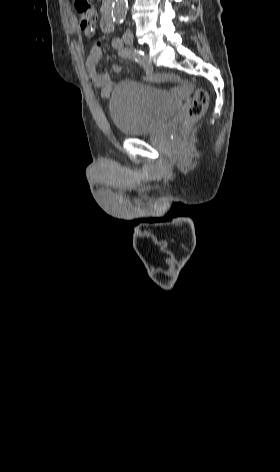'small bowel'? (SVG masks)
<instances>
[{"mask_svg":"<svg viewBox=\"0 0 280 472\" xmlns=\"http://www.w3.org/2000/svg\"><path fill=\"white\" fill-rule=\"evenodd\" d=\"M103 59V53L98 44H95L86 61L85 68L88 73L90 80L101 89L102 98H108L113 87V81L109 73H99L97 70L98 64ZM122 69L121 64H114L112 67L113 72H120ZM158 80L163 83L174 84V91L178 94H185L191 90V85L179 77L172 74H163L158 77Z\"/></svg>","mask_w":280,"mask_h":472,"instance_id":"1","label":"small bowel"}]
</instances>
